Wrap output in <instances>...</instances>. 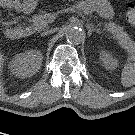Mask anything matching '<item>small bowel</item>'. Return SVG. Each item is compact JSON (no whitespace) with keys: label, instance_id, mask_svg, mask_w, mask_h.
<instances>
[{"label":"small bowel","instance_id":"1","mask_svg":"<svg viewBox=\"0 0 135 135\" xmlns=\"http://www.w3.org/2000/svg\"><path fill=\"white\" fill-rule=\"evenodd\" d=\"M96 10L105 18L113 16V9L108 0H92ZM0 6L9 11H17L24 7L22 0H0Z\"/></svg>","mask_w":135,"mask_h":135}]
</instances>
